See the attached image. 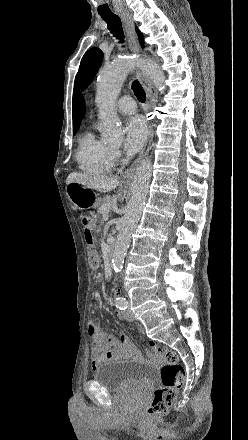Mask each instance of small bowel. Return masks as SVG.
I'll use <instances>...</instances> for the list:
<instances>
[{"mask_svg": "<svg viewBox=\"0 0 248 440\" xmlns=\"http://www.w3.org/2000/svg\"><path fill=\"white\" fill-rule=\"evenodd\" d=\"M137 330L141 333L144 331L141 325L137 326ZM87 331L92 338L91 354L92 366L94 369L104 362L118 360L123 357H136L139 355L136 347L130 341L128 336L124 334L107 335L95 320H89ZM146 345L147 347H152L156 350L154 348L157 345L156 338H147Z\"/></svg>", "mask_w": 248, "mask_h": 440, "instance_id": "c3829d8e", "label": "small bowel"}]
</instances>
